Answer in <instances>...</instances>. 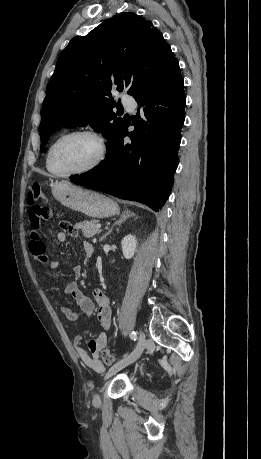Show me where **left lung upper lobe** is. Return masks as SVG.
I'll use <instances>...</instances> for the list:
<instances>
[{
  "label": "left lung upper lobe",
  "instance_id": "1",
  "mask_svg": "<svg viewBox=\"0 0 261 459\" xmlns=\"http://www.w3.org/2000/svg\"><path fill=\"white\" fill-rule=\"evenodd\" d=\"M176 61L150 21L133 12L116 15L73 38L60 53L41 111V151L62 126L90 125L108 139V148L125 126L113 108L111 89L137 95L157 82Z\"/></svg>",
  "mask_w": 261,
  "mask_h": 459
}]
</instances>
